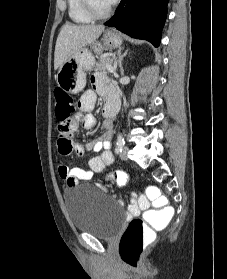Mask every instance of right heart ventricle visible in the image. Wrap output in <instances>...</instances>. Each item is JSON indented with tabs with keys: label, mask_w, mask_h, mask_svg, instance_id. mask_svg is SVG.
I'll return each instance as SVG.
<instances>
[{
	"label": "right heart ventricle",
	"mask_w": 227,
	"mask_h": 279,
	"mask_svg": "<svg viewBox=\"0 0 227 279\" xmlns=\"http://www.w3.org/2000/svg\"><path fill=\"white\" fill-rule=\"evenodd\" d=\"M69 18L78 24H88L92 18L84 11L80 0H67Z\"/></svg>",
	"instance_id": "1"
}]
</instances>
